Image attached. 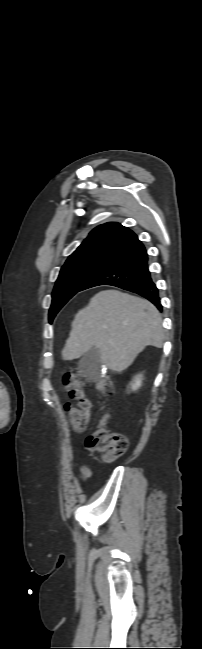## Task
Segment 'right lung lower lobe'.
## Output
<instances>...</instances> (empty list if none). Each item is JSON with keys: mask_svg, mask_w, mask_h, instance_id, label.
Wrapping results in <instances>:
<instances>
[{"mask_svg": "<svg viewBox=\"0 0 202 649\" xmlns=\"http://www.w3.org/2000/svg\"><path fill=\"white\" fill-rule=\"evenodd\" d=\"M148 256L142 243L112 257L99 268L80 291L98 285H112L137 293L162 310L158 289L148 270Z\"/></svg>", "mask_w": 202, "mask_h": 649, "instance_id": "right-lung-lower-lobe-1", "label": "right lung lower lobe"}]
</instances>
